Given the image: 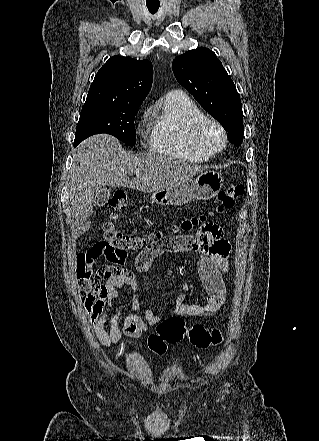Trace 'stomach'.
<instances>
[{
	"label": "stomach",
	"instance_id": "0dacf381",
	"mask_svg": "<svg viewBox=\"0 0 319 441\" xmlns=\"http://www.w3.org/2000/svg\"><path fill=\"white\" fill-rule=\"evenodd\" d=\"M224 180L213 170L201 172L196 179H186L169 189L154 191L151 198L158 205H184L192 200H209L221 190Z\"/></svg>",
	"mask_w": 319,
	"mask_h": 441
}]
</instances>
